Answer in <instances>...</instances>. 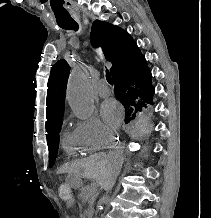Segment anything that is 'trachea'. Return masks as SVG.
Wrapping results in <instances>:
<instances>
[{"instance_id": "obj_1", "label": "trachea", "mask_w": 211, "mask_h": 218, "mask_svg": "<svg viewBox=\"0 0 211 218\" xmlns=\"http://www.w3.org/2000/svg\"><path fill=\"white\" fill-rule=\"evenodd\" d=\"M65 30H75L76 31V30H78V25L65 27ZM106 80L110 84L113 83L111 75H110L109 70L107 68H106Z\"/></svg>"}]
</instances>
